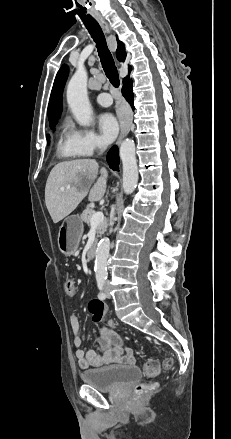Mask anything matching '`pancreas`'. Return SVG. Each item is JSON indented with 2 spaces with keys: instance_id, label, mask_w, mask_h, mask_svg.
<instances>
[{
  "instance_id": "1",
  "label": "pancreas",
  "mask_w": 231,
  "mask_h": 439,
  "mask_svg": "<svg viewBox=\"0 0 231 439\" xmlns=\"http://www.w3.org/2000/svg\"><path fill=\"white\" fill-rule=\"evenodd\" d=\"M95 210L93 208L87 207L81 214V219L82 221H84L88 226L90 225V220L91 217L95 214ZM108 226V222L107 220H103V222H101L97 228H96V233H97V238L101 237L102 234H104V232L106 231ZM97 238L95 240V243L97 242Z\"/></svg>"
}]
</instances>
